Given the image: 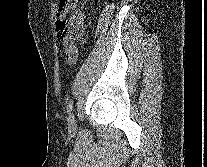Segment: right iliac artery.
<instances>
[{"mask_svg":"<svg viewBox=\"0 0 207 167\" xmlns=\"http://www.w3.org/2000/svg\"><path fill=\"white\" fill-rule=\"evenodd\" d=\"M72 109H73V102H72V100H70V102L68 103V106H67L68 114H70L72 112Z\"/></svg>","mask_w":207,"mask_h":167,"instance_id":"1","label":"right iliac artery"}]
</instances>
